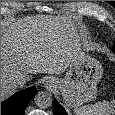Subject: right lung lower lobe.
I'll return each instance as SVG.
<instances>
[{
	"instance_id": "1",
	"label": "right lung lower lobe",
	"mask_w": 115,
	"mask_h": 115,
	"mask_svg": "<svg viewBox=\"0 0 115 115\" xmlns=\"http://www.w3.org/2000/svg\"><path fill=\"white\" fill-rule=\"evenodd\" d=\"M35 94V87L17 92L1 103V115H24L28 102L35 96Z\"/></svg>"
}]
</instances>
